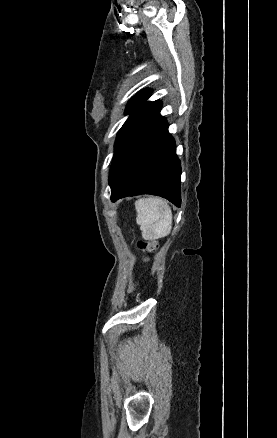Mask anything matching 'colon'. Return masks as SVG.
Wrapping results in <instances>:
<instances>
[{
  "label": "colon",
  "instance_id": "5ec220e1",
  "mask_svg": "<svg viewBox=\"0 0 277 438\" xmlns=\"http://www.w3.org/2000/svg\"><path fill=\"white\" fill-rule=\"evenodd\" d=\"M138 247H139V249H141V250H145L146 248H152L151 245H148V246H147V243H146L144 240H139V241H138Z\"/></svg>",
  "mask_w": 277,
  "mask_h": 438
}]
</instances>
